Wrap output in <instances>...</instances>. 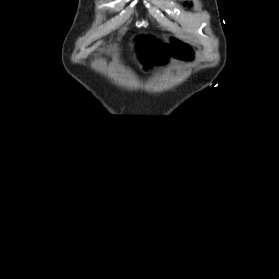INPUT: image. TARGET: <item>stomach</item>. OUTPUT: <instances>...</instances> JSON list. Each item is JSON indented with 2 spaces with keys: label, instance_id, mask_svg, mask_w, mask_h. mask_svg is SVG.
<instances>
[{
  "label": "stomach",
  "instance_id": "stomach-1",
  "mask_svg": "<svg viewBox=\"0 0 279 279\" xmlns=\"http://www.w3.org/2000/svg\"><path fill=\"white\" fill-rule=\"evenodd\" d=\"M142 33V34H141ZM167 34H158L156 30H142L128 39L131 49H164L168 45L180 44V39H167ZM150 44V46H148ZM191 44L174 45V48L188 50H129V55H142V59H150V63H159V59H193ZM142 69H175V64H142ZM147 78L146 74L142 75Z\"/></svg>",
  "mask_w": 279,
  "mask_h": 279
}]
</instances>
